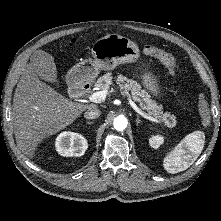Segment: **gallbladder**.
<instances>
[{
    "mask_svg": "<svg viewBox=\"0 0 221 221\" xmlns=\"http://www.w3.org/2000/svg\"><path fill=\"white\" fill-rule=\"evenodd\" d=\"M31 63L36 70V76L39 80L58 83L57 70L51 55L45 51H35L31 55Z\"/></svg>",
    "mask_w": 221,
    "mask_h": 221,
    "instance_id": "bac80fb5",
    "label": "gallbladder"
}]
</instances>
